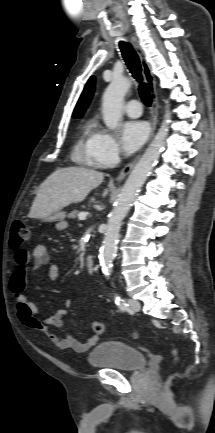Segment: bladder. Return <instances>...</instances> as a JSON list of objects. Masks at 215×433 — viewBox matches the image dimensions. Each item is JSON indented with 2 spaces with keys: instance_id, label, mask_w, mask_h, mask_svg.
Segmentation results:
<instances>
[{
  "instance_id": "1",
  "label": "bladder",
  "mask_w": 215,
  "mask_h": 433,
  "mask_svg": "<svg viewBox=\"0 0 215 433\" xmlns=\"http://www.w3.org/2000/svg\"><path fill=\"white\" fill-rule=\"evenodd\" d=\"M92 367L119 371H137L146 365V356L136 347L119 342L106 341L97 345L88 355Z\"/></svg>"
}]
</instances>
